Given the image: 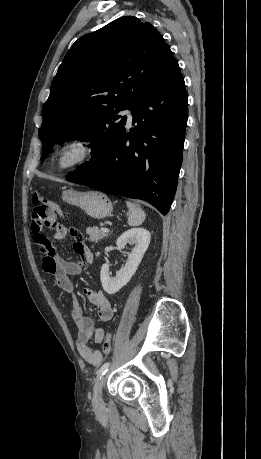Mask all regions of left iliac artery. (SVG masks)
<instances>
[{
    "instance_id": "left-iliac-artery-1",
    "label": "left iliac artery",
    "mask_w": 261,
    "mask_h": 459,
    "mask_svg": "<svg viewBox=\"0 0 261 459\" xmlns=\"http://www.w3.org/2000/svg\"><path fill=\"white\" fill-rule=\"evenodd\" d=\"M109 366V362H106L101 366V368L97 372V380L101 378L103 375H105V373L108 371Z\"/></svg>"
}]
</instances>
